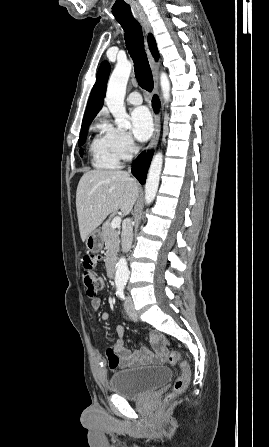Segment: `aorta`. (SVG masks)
<instances>
[{"instance_id":"aorta-1","label":"aorta","mask_w":269,"mask_h":447,"mask_svg":"<svg viewBox=\"0 0 269 447\" xmlns=\"http://www.w3.org/2000/svg\"><path fill=\"white\" fill-rule=\"evenodd\" d=\"M131 70L132 64L129 60H125V62L124 60H117L116 68L113 70L108 82L107 94L104 100L114 118L116 126H118V128H124V130H129V128H131V122L124 106L126 86ZM160 86L164 102H169L170 82L165 72L160 74ZM162 164L163 154L162 152H158L156 156H153L145 184L146 204H151L158 192ZM129 273L130 271L125 257H120L116 265L115 283L117 287L118 285H124V283L128 281Z\"/></svg>"}]
</instances>
